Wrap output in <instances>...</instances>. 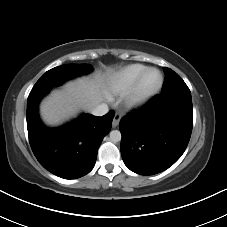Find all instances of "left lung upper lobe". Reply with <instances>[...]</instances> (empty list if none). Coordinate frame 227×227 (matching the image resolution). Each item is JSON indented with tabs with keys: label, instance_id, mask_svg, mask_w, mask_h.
Returning a JSON list of instances; mask_svg holds the SVG:
<instances>
[{
	"label": "left lung upper lobe",
	"instance_id": "left-lung-upper-lobe-1",
	"mask_svg": "<svg viewBox=\"0 0 227 227\" xmlns=\"http://www.w3.org/2000/svg\"><path fill=\"white\" fill-rule=\"evenodd\" d=\"M166 75L161 95H191L189 88L181 77L173 70L164 67Z\"/></svg>",
	"mask_w": 227,
	"mask_h": 227
}]
</instances>
